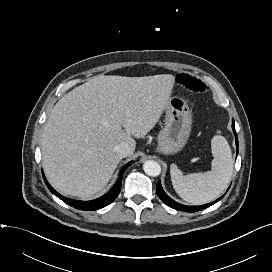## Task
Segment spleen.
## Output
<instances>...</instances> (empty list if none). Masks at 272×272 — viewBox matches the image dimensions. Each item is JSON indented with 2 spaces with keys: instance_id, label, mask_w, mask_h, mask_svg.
<instances>
[{
  "instance_id": "1",
  "label": "spleen",
  "mask_w": 272,
  "mask_h": 272,
  "mask_svg": "<svg viewBox=\"0 0 272 272\" xmlns=\"http://www.w3.org/2000/svg\"><path fill=\"white\" fill-rule=\"evenodd\" d=\"M211 140L212 170L184 175L174 164L170 166L171 181L177 194L186 202L202 205L216 199L228 186L233 174V158L227 140L217 131Z\"/></svg>"
}]
</instances>
